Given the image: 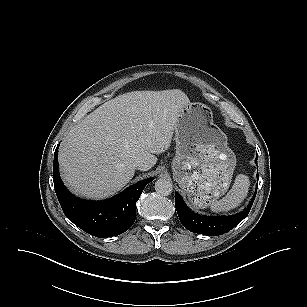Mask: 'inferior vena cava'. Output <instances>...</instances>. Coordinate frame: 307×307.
<instances>
[{
    "instance_id": "obj_1",
    "label": "inferior vena cava",
    "mask_w": 307,
    "mask_h": 307,
    "mask_svg": "<svg viewBox=\"0 0 307 307\" xmlns=\"http://www.w3.org/2000/svg\"><path fill=\"white\" fill-rule=\"evenodd\" d=\"M132 166L135 168V169H138V170H143L145 165L142 161H135Z\"/></svg>"
}]
</instances>
